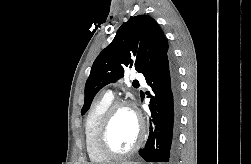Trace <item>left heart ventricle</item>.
Wrapping results in <instances>:
<instances>
[{"label": "left heart ventricle", "instance_id": "obj_1", "mask_svg": "<svg viewBox=\"0 0 251 164\" xmlns=\"http://www.w3.org/2000/svg\"><path fill=\"white\" fill-rule=\"evenodd\" d=\"M138 138V122L128 108H120L114 115L108 134L111 148L118 152L130 149Z\"/></svg>", "mask_w": 251, "mask_h": 164}]
</instances>
